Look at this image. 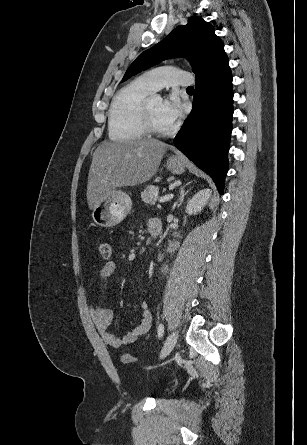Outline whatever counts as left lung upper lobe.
I'll list each match as a JSON object with an SVG mask.
<instances>
[{"label":"left lung upper lobe","mask_w":307,"mask_h":445,"mask_svg":"<svg viewBox=\"0 0 307 445\" xmlns=\"http://www.w3.org/2000/svg\"><path fill=\"white\" fill-rule=\"evenodd\" d=\"M173 56L189 59L198 76L227 55L214 27L201 17L192 16L187 25L178 26L163 41L141 53L129 66L122 81Z\"/></svg>","instance_id":"1"}]
</instances>
